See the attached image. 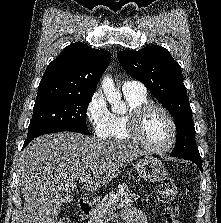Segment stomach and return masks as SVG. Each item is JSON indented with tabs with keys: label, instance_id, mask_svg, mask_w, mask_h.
Masks as SVG:
<instances>
[{
	"label": "stomach",
	"instance_id": "1",
	"mask_svg": "<svg viewBox=\"0 0 221 223\" xmlns=\"http://www.w3.org/2000/svg\"><path fill=\"white\" fill-rule=\"evenodd\" d=\"M137 173L144 181L158 182L166 175L163 164L152 156H144L137 161Z\"/></svg>",
	"mask_w": 221,
	"mask_h": 223
}]
</instances>
